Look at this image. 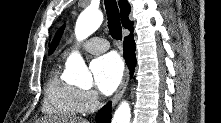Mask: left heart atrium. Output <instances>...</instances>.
Wrapping results in <instances>:
<instances>
[{
    "label": "left heart atrium",
    "instance_id": "obj_1",
    "mask_svg": "<svg viewBox=\"0 0 221 123\" xmlns=\"http://www.w3.org/2000/svg\"><path fill=\"white\" fill-rule=\"evenodd\" d=\"M96 88L103 94H111L123 76V63L115 54L95 58L90 65Z\"/></svg>",
    "mask_w": 221,
    "mask_h": 123
}]
</instances>
